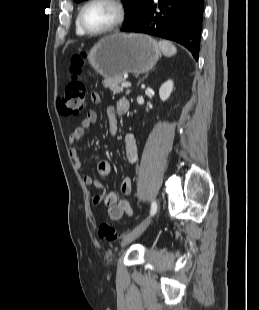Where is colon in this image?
Masks as SVG:
<instances>
[{"label":"colon","instance_id":"1","mask_svg":"<svg viewBox=\"0 0 259 310\" xmlns=\"http://www.w3.org/2000/svg\"><path fill=\"white\" fill-rule=\"evenodd\" d=\"M84 64L83 55H74L71 59L69 71L74 75V78L66 85L63 94L58 100L59 110L64 114L79 115L85 108L87 89L85 84L76 78L81 73ZM99 235L106 241H116L121 237L117 228L110 223L100 224Z\"/></svg>","mask_w":259,"mask_h":310}]
</instances>
